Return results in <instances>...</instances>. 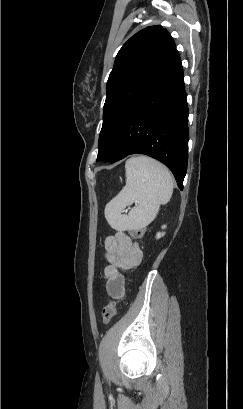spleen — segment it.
I'll return each mask as SVG.
<instances>
[{"label": "spleen", "instance_id": "spleen-1", "mask_svg": "<svg viewBox=\"0 0 243 409\" xmlns=\"http://www.w3.org/2000/svg\"><path fill=\"white\" fill-rule=\"evenodd\" d=\"M126 185L105 207V218L117 230H138L150 224L173 193V177L160 162L147 156L131 157L125 164ZM136 205L127 215L123 210Z\"/></svg>", "mask_w": 243, "mask_h": 409}]
</instances>
